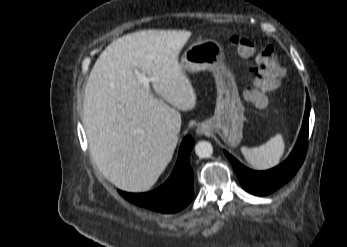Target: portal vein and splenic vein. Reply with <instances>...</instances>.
Here are the masks:
<instances>
[{
  "label": "portal vein and splenic vein",
  "mask_w": 347,
  "mask_h": 247,
  "mask_svg": "<svg viewBox=\"0 0 347 247\" xmlns=\"http://www.w3.org/2000/svg\"><path fill=\"white\" fill-rule=\"evenodd\" d=\"M135 75L137 76L138 80L143 84L146 91H149V83L151 81H154V78H148L145 74L141 73L138 69L134 70Z\"/></svg>",
  "instance_id": "1"
}]
</instances>
